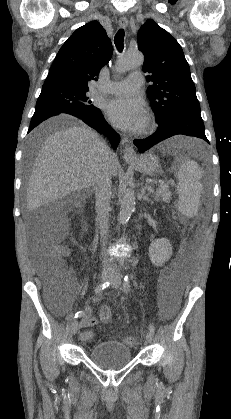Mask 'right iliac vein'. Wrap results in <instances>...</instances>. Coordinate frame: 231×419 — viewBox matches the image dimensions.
I'll return each mask as SVG.
<instances>
[{
    "mask_svg": "<svg viewBox=\"0 0 231 419\" xmlns=\"http://www.w3.org/2000/svg\"><path fill=\"white\" fill-rule=\"evenodd\" d=\"M111 274H112V271L110 269H104L101 273V277H100L101 281H106L110 277ZM78 329H79V322L77 320H74L70 326L71 334L72 335L76 334Z\"/></svg>",
    "mask_w": 231,
    "mask_h": 419,
    "instance_id": "obj_1",
    "label": "right iliac vein"
}]
</instances>
